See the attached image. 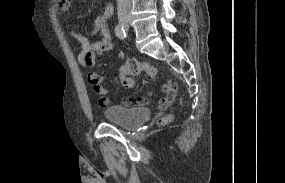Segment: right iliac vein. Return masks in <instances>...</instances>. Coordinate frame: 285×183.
Returning <instances> with one entry per match:
<instances>
[{
	"label": "right iliac vein",
	"instance_id": "63e3f726",
	"mask_svg": "<svg viewBox=\"0 0 285 183\" xmlns=\"http://www.w3.org/2000/svg\"><path fill=\"white\" fill-rule=\"evenodd\" d=\"M120 24L125 27V28H128L129 25H130V19L128 17H123V18H120Z\"/></svg>",
	"mask_w": 285,
	"mask_h": 183
}]
</instances>
